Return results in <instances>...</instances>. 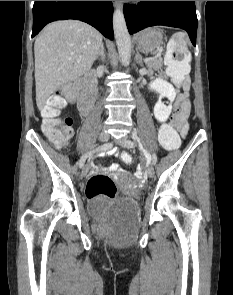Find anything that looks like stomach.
<instances>
[{"label":"stomach","instance_id":"stomach-1","mask_svg":"<svg viewBox=\"0 0 233 295\" xmlns=\"http://www.w3.org/2000/svg\"><path fill=\"white\" fill-rule=\"evenodd\" d=\"M162 33L155 29H147L137 35L136 43L138 49L143 53H149L162 44Z\"/></svg>","mask_w":233,"mask_h":295}]
</instances>
